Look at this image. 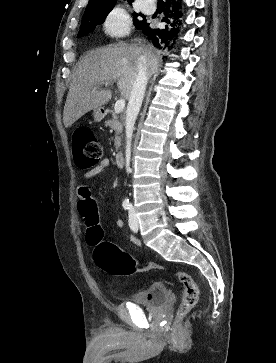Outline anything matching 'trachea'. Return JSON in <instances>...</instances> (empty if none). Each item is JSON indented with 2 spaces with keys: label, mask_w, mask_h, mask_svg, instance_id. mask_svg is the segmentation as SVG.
Listing matches in <instances>:
<instances>
[{
  "label": "trachea",
  "mask_w": 276,
  "mask_h": 363,
  "mask_svg": "<svg viewBox=\"0 0 276 363\" xmlns=\"http://www.w3.org/2000/svg\"><path fill=\"white\" fill-rule=\"evenodd\" d=\"M158 4H163V0H158Z\"/></svg>",
  "instance_id": "3493384b"
}]
</instances>
